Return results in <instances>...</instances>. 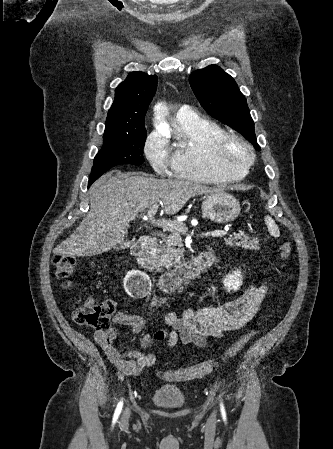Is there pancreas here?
Here are the masks:
<instances>
[{"label":"pancreas","instance_id":"1","mask_svg":"<svg viewBox=\"0 0 333 449\" xmlns=\"http://www.w3.org/2000/svg\"><path fill=\"white\" fill-rule=\"evenodd\" d=\"M183 234V231H173L166 237L164 244L156 252L158 264L170 268L174 264L179 263L180 258L183 257V249L175 248V246H182L181 236ZM225 243L230 246H241L244 249H259L258 239L249 237L244 232L233 233L230 238H225Z\"/></svg>","mask_w":333,"mask_h":449}]
</instances>
